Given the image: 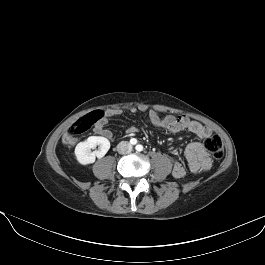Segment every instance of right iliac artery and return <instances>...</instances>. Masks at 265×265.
I'll return each instance as SVG.
<instances>
[{"label":"right iliac artery","instance_id":"1","mask_svg":"<svg viewBox=\"0 0 265 265\" xmlns=\"http://www.w3.org/2000/svg\"><path fill=\"white\" fill-rule=\"evenodd\" d=\"M130 142H131V144L135 145V144L137 143V140H136L135 138H132V139L130 140Z\"/></svg>","mask_w":265,"mask_h":265}]
</instances>
